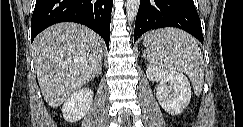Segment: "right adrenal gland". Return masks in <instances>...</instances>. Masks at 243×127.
Listing matches in <instances>:
<instances>
[{
	"label": "right adrenal gland",
	"instance_id": "right-adrenal-gland-1",
	"mask_svg": "<svg viewBox=\"0 0 243 127\" xmlns=\"http://www.w3.org/2000/svg\"><path fill=\"white\" fill-rule=\"evenodd\" d=\"M101 72H102V68H100V71H99V73H98V74H101Z\"/></svg>",
	"mask_w": 243,
	"mask_h": 127
}]
</instances>
